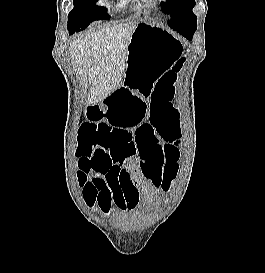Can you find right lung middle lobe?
Returning <instances> with one entry per match:
<instances>
[{"mask_svg":"<svg viewBox=\"0 0 265 273\" xmlns=\"http://www.w3.org/2000/svg\"><path fill=\"white\" fill-rule=\"evenodd\" d=\"M98 0H74V8L68 15L69 34L83 30L88 25L100 19H109L104 7L96 5Z\"/></svg>","mask_w":265,"mask_h":273,"instance_id":"dd1d6c3e","label":"right lung middle lobe"}]
</instances>
